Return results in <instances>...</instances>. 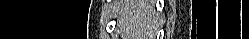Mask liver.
<instances>
[{"label": "liver", "mask_w": 249, "mask_h": 39, "mask_svg": "<svg viewBox=\"0 0 249 39\" xmlns=\"http://www.w3.org/2000/svg\"><path fill=\"white\" fill-rule=\"evenodd\" d=\"M154 0L124 1L118 8L122 39H145L155 29L158 14Z\"/></svg>", "instance_id": "1"}]
</instances>
